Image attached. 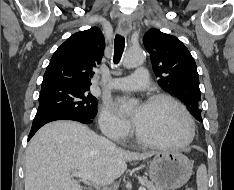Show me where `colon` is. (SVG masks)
Wrapping results in <instances>:
<instances>
[{
  "label": "colon",
  "instance_id": "obj_1",
  "mask_svg": "<svg viewBox=\"0 0 234 190\" xmlns=\"http://www.w3.org/2000/svg\"><path fill=\"white\" fill-rule=\"evenodd\" d=\"M186 190H193L191 187L187 188Z\"/></svg>",
  "mask_w": 234,
  "mask_h": 190
}]
</instances>
